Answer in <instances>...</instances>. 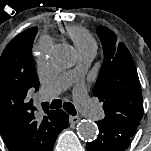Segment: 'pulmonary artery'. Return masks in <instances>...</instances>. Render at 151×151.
Listing matches in <instances>:
<instances>
[{
	"mask_svg": "<svg viewBox=\"0 0 151 151\" xmlns=\"http://www.w3.org/2000/svg\"><path fill=\"white\" fill-rule=\"evenodd\" d=\"M94 56L95 51H88L80 54L78 68L74 72L70 73L60 80L47 83L43 87V93L49 96H54L66 87L70 79H76L78 82L75 88V99L82 111L86 113L90 118L96 120L101 118V111L90 101L86 94L85 86L81 82V77L92 62Z\"/></svg>",
	"mask_w": 151,
	"mask_h": 151,
	"instance_id": "1",
	"label": "pulmonary artery"
}]
</instances>
